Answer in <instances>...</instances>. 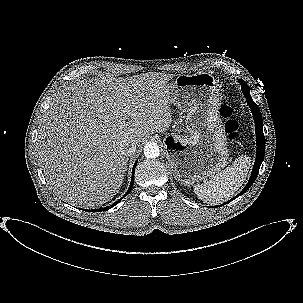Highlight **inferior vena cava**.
<instances>
[{"label": "inferior vena cava", "instance_id": "1", "mask_svg": "<svg viewBox=\"0 0 303 303\" xmlns=\"http://www.w3.org/2000/svg\"><path fill=\"white\" fill-rule=\"evenodd\" d=\"M120 146L126 156H131L136 150V142L131 138L122 140Z\"/></svg>", "mask_w": 303, "mask_h": 303}]
</instances>
